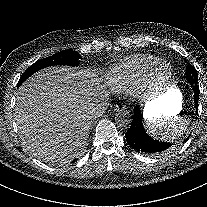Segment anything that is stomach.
I'll list each match as a JSON object with an SVG mask.
<instances>
[{
    "mask_svg": "<svg viewBox=\"0 0 207 207\" xmlns=\"http://www.w3.org/2000/svg\"><path fill=\"white\" fill-rule=\"evenodd\" d=\"M182 109V94L179 89L171 87L161 96L147 102L144 108L145 118L158 120L164 117H174Z\"/></svg>",
    "mask_w": 207,
    "mask_h": 207,
    "instance_id": "obj_1",
    "label": "stomach"
}]
</instances>
